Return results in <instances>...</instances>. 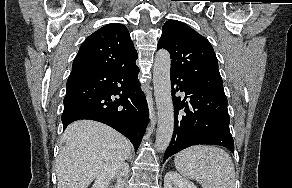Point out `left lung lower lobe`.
Returning <instances> with one entry per match:
<instances>
[{
	"instance_id": "obj_1",
	"label": "left lung lower lobe",
	"mask_w": 292,
	"mask_h": 188,
	"mask_svg": "<svg viewBox=\"0 0 292 188\" xmlns=\"http://www.w3.org/2000/svg\"><path fill=\"white\" fill-rule=\"evenodd\" d=\"M175 129L164 161L173 154L198 144H217L234 151L230 118L224 91L211 89L171 73ZM185 92V99L174 96ZM163 161V162H164Z\"/></svg>"
}]
</instances>
